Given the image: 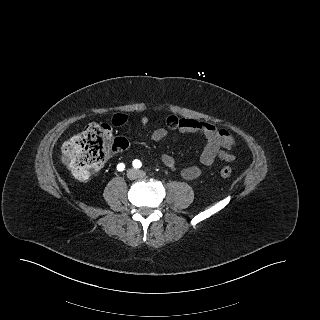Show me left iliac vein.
I'll use <instances>...</instances> for the list:
<instances>
[{"label": "left iliac vein", "instance_id": "left-iliac-vein-1", "mask_svg": "<svg viewBox=\"0 0 320 320\" xmlns=\"http://www.w3.org/2000/svg\"><path fill=\"white\" fill-rule=\"evenodd\" d=\"M136 173H137V175H138L139 177L145 176V172L142 171V170H137Z\"/></svg>", "mask_w": 320, "mask_h": 320}]
</instances>
